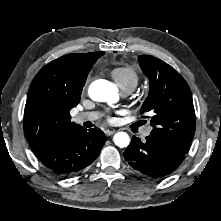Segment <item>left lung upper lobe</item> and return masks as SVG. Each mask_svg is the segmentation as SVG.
Segmentation results:
<instances>
[{
  "instance_id": "5c2ea615",
  "label": "left lung upper lobe",
  "mask_w": 221,
  "mask_h": 221,
  "mask_svg": "<svg viewBox=\"0 0 221 221\" xmlns=\"http://www.w3.org/2000/svg\"><path fill=\"white\" fill-rule=\"evenodd\" d=\"M138 61L150 83L148 97L142 105V112L151 115L150 135L186 154L196 126L187 82L174 68L156 57L141 55Z\"/></svg>"
}]
</instances>
